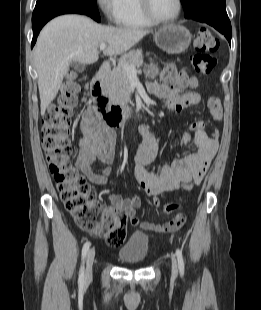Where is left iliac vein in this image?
Masks as SVG:
<instances>
[{
  "label": "left iliac vein",
  "mask_w": 261,
  "mask_h": 310,
  "mask_svg": "<svg viewBox=\"0 0 261 310\" xmlns=\"http://www.w3.org/2000/svg\"><path fill=\"white\" fill-rule=\"evenodd\" d=\"M172 258V277L175 278L177 276V263L174 256Z\"/></svg>",
  "instance_id": "1"
}]
</instances>
